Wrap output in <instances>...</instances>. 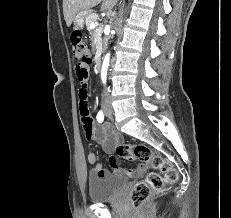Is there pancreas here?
Listing matches in <instances>:
<instances>
[{
	"label": "pancreas",
	"instance_id": "1",
	"mask_svg": "<svg viewBox=\"0 0 231 218\" xmlns=\"http://www.w3.org/2000/svg\"><path fill=\"white\" fill-rule=\"evenodd\" d=\"M98 20V15L96 13H88L86 15V18H85V24H86V27H87V30L90 31L92 33V35L98 40V41H101V35H102V28L101 27H98L96 29H92L90 28V24L92 22H97Z\"/></svg>",
	"mask_w": 231,
	"mask_h": 218
}]
</instances>
